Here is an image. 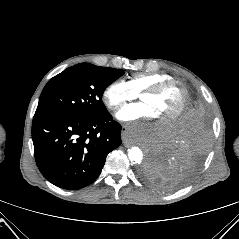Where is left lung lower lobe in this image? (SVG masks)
<instances>
[{"mask_svg": "<svg viewBox=\"0 0 239 239\" xmlns=\"http://www.w3.org/2000/svg\"><path fill=\"white\" fill-rule=\"evenodd\" d=\"M209 144V119L194 98L177 123L150 153L144 169L146 179L163 190L189 182L199 169Z\"/></svg>", "mask_w": 239, "mask_h": 239, "instance_id": "left-lung-lower-lobe-1", "label": "left lung lower lobe"}]
</instances>
